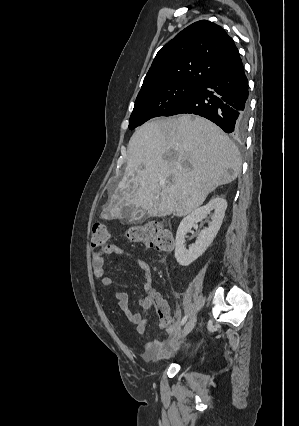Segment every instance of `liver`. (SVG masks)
Wrapping results in <instances>:
<instances>
[{"instance_id":"liver-1","label":"liver","mask_w":299,"mask_h":426,"mask_svg":"<svg viewBox=\"0 0 299 426\" xmlns=\"http://www.w3.org/2000/svg\"><path fill=\"white\" fill-rule=\"evenodd\" d=\"M127 152L125 174L101 213L107 220L122 218L126 206L151 217L185 216L241 170L232 140L211 121L189 114L145 123Z\"/></svg>"}]
</instances>
